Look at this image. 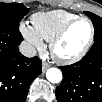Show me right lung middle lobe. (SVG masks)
<instances>
[{"instance_id": "obj_1", "label": "right lung middle lobe", "mask_w": 102, "mask_h": 102, "mask_svg": "<svg viewBox=\"0 0 102 102\" xmlns=\"http://www.w3.org/2000/svg\"><path fill=\"white\" fill-rule=\"evenodd\" d=\"M29 9L22 3H0V29L3 27L19 28L20 20Z\"/></svg>"}]
</instances>
